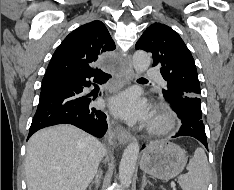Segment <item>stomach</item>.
<instances>
[{
	"mask_svg": "<svg viewBox=\"0 0 234 190\" xmlns=\"http://www.w3.org/2000/svg\"><path fill=\"white\" fill-rule=\"evenodd\" d=\"M187 163L185 151L170 141L151 143L143 152L140 168L155 178L169 180L181 173Z\"/></svg>",
	"mask_w": 234,
	"mask_h": 190,
	"instance_id": "obj_1",
	"label": "stomach"
}]
</instances>
